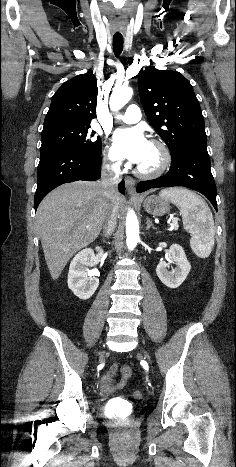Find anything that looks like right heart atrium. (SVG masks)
Listing matches in <instances>:
<instances>
[{
	"mask_svg": "<svg viewBox=\"0 0 236 467\" xmlns=\"http://www.w3.org/2000/svg\"><path fill=\"white\" fill-rule=\"evenodd\" d=\"M104 157H105L106 163L112 169L119 170L121 168L122 162L119 160L114 148L109 144L105 146Z\"/></svg>",
	"mask_w": 236,
	"mask_h": 467,
	"instance_id": "right-heart-atrium-1",
	"label": "right heart atrium"
}]
</instances>
